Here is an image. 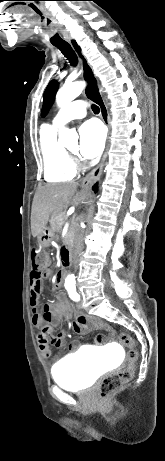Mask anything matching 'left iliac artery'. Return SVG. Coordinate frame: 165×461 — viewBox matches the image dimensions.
Returning <instances> with one entry per match:
<instances>
[{
  "label": "left iliac artery",
  "instance_id": "44dca946",
  "mask_svg": "<svg viewBox=\"0 0 165 461\" xmlns=\"http://www.w3.org/2000/svg\"><path fill=\"white\" fill-rule=\"evenodd\" d=\"M68 293H69V297L74 300V301H78L80 299V296L78 295V293L76 292V288L75 286H72V287H67L66 288Z\"/></svg>",
  "mask_w": 165,
  "mask_h": 461
}]
</instances>
